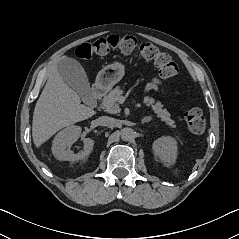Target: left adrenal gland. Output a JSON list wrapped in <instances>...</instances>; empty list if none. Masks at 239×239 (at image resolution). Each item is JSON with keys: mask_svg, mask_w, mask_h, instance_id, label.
<instances>
[{"mask_svg": "<svg viewBox=\"0 0 239 239\" xmlns=\"http://www.w3.org/2000/svg\"><path fill=\"white\" fill-rule=\"evenodd\" d=\"M152 120V117H144L143 119H142V123L144 124V123H148L149 121H151Z\"/></svg>", "mask_w": 239, "mask_h": 239, "instance_id": "a2214340", "label": "left adrenal gland"}]
</instances>
